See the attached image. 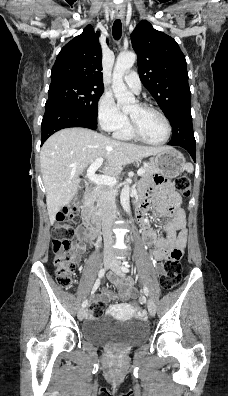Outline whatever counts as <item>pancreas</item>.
Segmentation results:
<instances>
[{
    "mask_svg": "<svg viewBox=\"0 0 228 396\" xmlns=\"http://www.w3.org/2000/svg\"><path fill=\"white\" fill-rule=\"evenodd\" d=\"M143 168L145 171L142 174L143 178L149 177L157 172V168L153 163H146ZM111 194L115 195V190L113 187H104L95 194V200H96L95 210H96V212H98L99 214H102L103 200L106 196L111 195Z\"/></svg>",
    "mask_w": 228,
    "mask_h": 396,
    "instance_id": "obj_1",
    "label": "pancreas"
}]
</instances>
